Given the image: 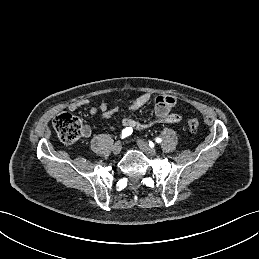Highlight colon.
Wrapping results in <instances>:
<instances>
[{
  "label": "colon",
  "mask_w": 259,
  "mask_h": 259,
  "mask_svg": "<svg viewBox=\"0 0 259 259\" xmlns=\"http://www.w3.org/2000/svg\"><path fill=\"white\" fill-rule=\"evenodd\" d=\"M54 129L59 139L66 144L76 142L82 134V124L80 120L70 113H60L53 122ZM199 127V121L195 118L189 119L187 128L189 132H196Z\"/></svg>",
  "instance_id": "obj_1"
}]
</instances>
